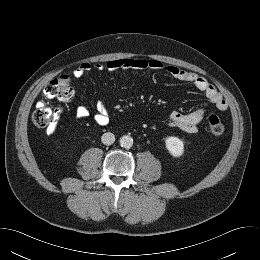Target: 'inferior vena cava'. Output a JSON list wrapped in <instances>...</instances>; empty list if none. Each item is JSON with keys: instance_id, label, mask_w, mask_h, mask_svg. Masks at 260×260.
Here are the masks:
<instances>
[{"instance_id": "1", "label": "inferior vena cava", "mask_w": 260, "mask_h": 260, "mask_svg": "<svg viewBox=\"0 0 260 260\" xmlns=\"http://www.w3.org/2000/svg\"><path fill=\"white\" fill-rule=\"evenodd\" d=\"M101 141L105 145H111L115 142V136L111 132L104 133L101 137Z\"/></svg>"}]
</instances>
